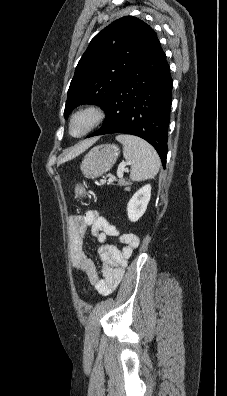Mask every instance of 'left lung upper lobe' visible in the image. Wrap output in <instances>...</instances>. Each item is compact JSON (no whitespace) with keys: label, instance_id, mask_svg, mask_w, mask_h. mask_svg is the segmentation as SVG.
Instances as JSON below:
<instances>
[{"label":"left lung upper lobe","instance_id":"5c2ea615","mask_svg":"<svg viewBox=\"0 0 227 396\" xmlns=\"http://www.w3.org/2000/svg\"><path fill=\"white\" fill-rule=\"evenodd\" d=\"M158 43L154 30L133 16L117 19L100 31L78 62L64 116L80 104L104 108L129 72Z\"/></svg>","mask_w":227,"mask_h":396}]
</instances>
